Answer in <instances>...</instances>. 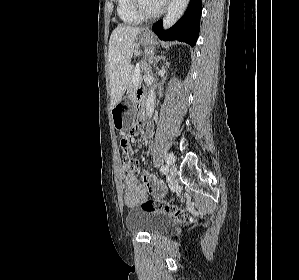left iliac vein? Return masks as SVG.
<instances>
[{
	"label": "left iliac vein",
	"instance_id": "left-iliac-vein-1",
	"mask_svg": "<svg viewBox=\"0 0 299 280\" xmlns=\"http://www.w3.org/2000/svg\"><path fill=\"white\" fill-rule=\"evenodd\" d=\"M176 176H177V166L175 164H173L169 170L170 180L173 181L176 178Z\"/></svg>",
	"mask_w": 299,
	"mask_h": 280
}]
</instances>
